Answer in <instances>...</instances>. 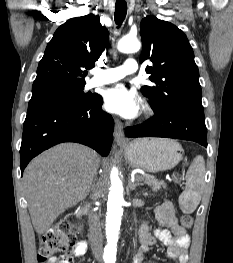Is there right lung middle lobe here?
<instances>
[{
	"mask_svg": "<svg viewBox=\"0 0 233 263\" xmlns=\"http://www.w3.org/2000/svg\"><path fill=\"white\" fill-rule=\"evenodd\" d=\"M83 89L84 85H81L75 88L32 96L27 113L52 107H76L90 103L95 96L85 94Z\"/></svg>",
	"mask_w": 233,
	"mask_h": 263,
	"instance_id": "right-lung-middle-lobe-1",
	"label": "right lung middle lobe"
}]
</instances>
